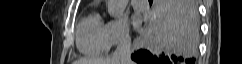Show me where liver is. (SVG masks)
Returning a JSON list of instances; mask_svg holds the SVG:
<instances>
[{"label":"liver","instance_id":"liver-1","mask_svg":"<svg viewBox=\"0 0 242 64\" xmlns=\"http://www.w3.org/2000/svg\"><path fill=\"white\" fill-rule=\"evenodd\" d=\"M179 32L192 33L194 38L197 37L198 29L191 27L187 22H181V26L178 29H174ZM74 64H116L111 57L107 58H98V59H80L75 61Z\"/></svg>","mask_w":242,"mask_h":64}]
</instances>
